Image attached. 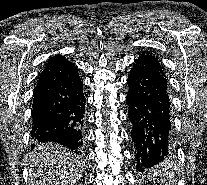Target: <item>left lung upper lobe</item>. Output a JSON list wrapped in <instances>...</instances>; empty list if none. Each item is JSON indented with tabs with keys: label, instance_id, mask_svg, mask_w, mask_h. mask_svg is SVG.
<instances>
[{
	"label": "left lung upper lobe",
	"instance_id": "5c2ea615",
	"mask_svg": "<svg viewBox=\"0 0 207 185\" xmlns=\"http://www.w3.org/2000/svg\"><path fill=\"white\" fill-rule=\"evenodd\" d=\"M135 65H142V66H146L152 69H155L157 71H159L162 75L165 76V73L162 70V67L159 63V61L157 60L156 57L152 56V54L150 53H143L141 56H139L136 60H135Z\"/></svg>",
	"mask_w": 207,
	"mask_h": 185
}]
</instances>
